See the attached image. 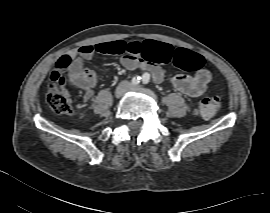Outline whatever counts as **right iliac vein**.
Listing matches in <instances>:
<instances>
[{"label": "right iliac vein", "mask_w": 270, "mask_h": 213, "mask_svg": "<svg viewBox=\"0 0 270 213\" xmlns=\"http://www.w3.org/2000/svg\"><path fill=\"white\" fill-rule=\"evenodd\" d=\"M129 88L130 84L127 81L122 82L115 90V97L120 98Z\"/></svg>", "instance_id": "right-iliac-vein-1"}]
</instances>
